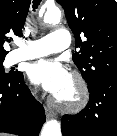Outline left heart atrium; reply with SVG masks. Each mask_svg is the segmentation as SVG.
Here are the masks:
<instances>
[{"mask_svg": "<svg viewBox=\"0 0 117 136\" xmlns=\"http://www.w3.org/2000/svg\"><path fill=\"white\" fill-rule=\"evenodd\" d=\"M29 78L51 94L59 95L70 84L71 76L58 60L41 59L30 65Z\"/></svg>", "mask_w": 117, "mask_h": 136, "instance_id": "1", "label": "left heart atrium"}]
</instances>
